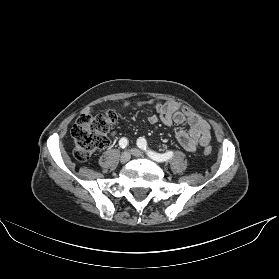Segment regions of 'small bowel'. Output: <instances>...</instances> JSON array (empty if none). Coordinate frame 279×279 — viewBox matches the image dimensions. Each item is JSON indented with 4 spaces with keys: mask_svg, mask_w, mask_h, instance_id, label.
Listing matches in <instances>:
<instances>
[{
    "mask_svg": "<svg viewBox=\"0 0 279 279\" xmlns=\"http://www.w3.org/2000/svg\"><path fill=\"white\" fill-rule=\"evenodd\" d=\"M124 106H131V103L125 102ZM142 105H153L156 113L148 117L150 124H156L161 121L165 125L182 126L187 123L189 130H179L176 138L179 144L187 151L196 152L202 147H207L211 139L209 124L197 114L187 108H182L176 101L161 103L157 100H148L137 102L136 107Z\"/></svg>",
    "mask_w": 279,
    "mask_h": 279,
    "instance_id": "c3829d8e",
    "label": "small bowel"
}]
</instances>
